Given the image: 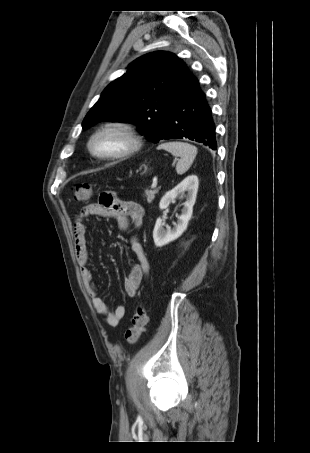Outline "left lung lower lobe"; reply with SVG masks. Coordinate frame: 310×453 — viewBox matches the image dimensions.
Masks as SVG:
<instances>
[{"mask_svg": "<svg viewBox=\"0 0 310 453\" xmlns=\"http://www.w3.org/2000/svg\"><path fill=\"white\" fill-rule=\"evenodd\" d=\"M182 138L203 143L213 150L217 148L212 111L198 80L191 73L160 136V140Z\"/></svg>", "mask_w": 310, "mask_h": 453, "instance_id": "left-lung-lower-lobe-1", "label": "left lung lower lobe"}]
</instances>
